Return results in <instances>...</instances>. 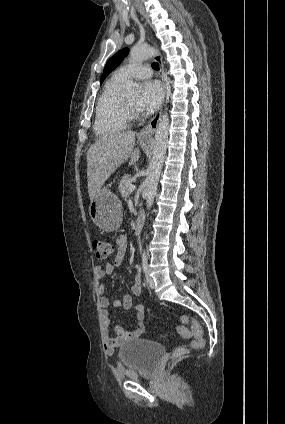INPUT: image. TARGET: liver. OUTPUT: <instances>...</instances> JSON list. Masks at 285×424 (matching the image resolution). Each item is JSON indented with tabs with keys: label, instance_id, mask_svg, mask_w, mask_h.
Masks as SVG:
<instances>
[{
	"label": "liver",
	"instance_id": "obj_1",
	"mask_svg": "<svg viewBox=\"0 0 285 424\" xmlns=\"http://www.w3.org/2000/svg\"><path fill=\"white\" fill-rule=\"evenodd\" d=\"M133 131L116 132L96 141L87 151V181L90 200L95 199L105 181L130 158L133 165L140 157Z\"/></svg>",
	"mask_w": 285,
	"mask_h": 424
}]
</instances>
